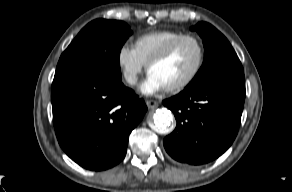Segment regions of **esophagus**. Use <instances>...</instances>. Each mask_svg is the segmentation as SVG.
Masks as SVG:
<instances>
[{
    "instance_id": "obj_1",
    "label": "esophagus",
    "mask_w": 292,
    "mask_h": 192,
    "mask_svg": "<svg viewBox=\"0 0 292 192\" xmlns=\"http://www.w3.org/2000/svg\"><path fill=\"white\" fill-rule=\"evenodd\" d=\"M146 105L149 109H156L158 107V102L154 100H147Z\"/></svg>"
}]
</instances>
